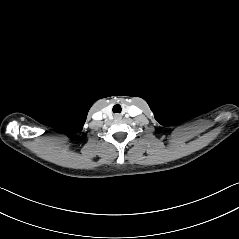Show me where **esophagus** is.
I'll return each mask as SVG.
<instances>
[{
	"label": "esophagus",
	"instance_id": "obj_1",
	"mask_svg": "<svg viewBox=\"0 0 239 239\" xmlns=\"http://www.w3.org/2000/svg\"><path fill=\"white\" fill-rule=\"evenodd\" d=\"M115 118H119V115H115Z\"/></svg>",
	"mask_w": 239,
	"mask_h": 239
}]
</instances>
